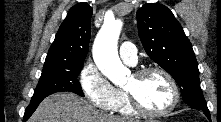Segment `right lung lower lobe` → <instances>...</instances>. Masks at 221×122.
I'll list each match as a JSON object with an SVG mask.
<instances>
[{"label":"right lung lower lobe","mask_w":221,"mask_h":122,"mask_svg":"<svg viewBox=\"0 0 221 122\" xmlns=\"http://www.w3.org/2000/svg\"><path fill=\"white\" fill-rule=\"evenodd\" d=\"M42 100L43 99L30 102V104L28 105V107H27V109L25 111L24 117H23V121L24 122L33 114V112L36 110V108L38 107L39 103Z\"/></svg>","instance_id":"obj_1"}]
</instances>
